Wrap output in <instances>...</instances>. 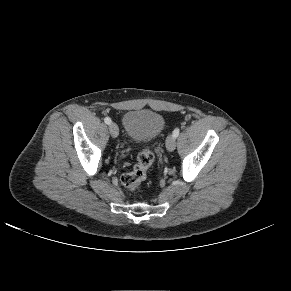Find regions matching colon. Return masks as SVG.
Returning <instances> with one entry per match:
<instances>
[{
	"label": "colon",
	"mask_w": 291,
	"mask_h": 291,
	"mask_svg": "<svg viewBox=\"0 0 291 291\" xmlns=\"http://www.w3.org/2000/svg\"><path fill=\"white\" fill-rule=\"evenodd\" d=\"M154 161V156L149 149H144L137 157V163L133 168L121 177L122 185L134 191L145 180L147 171Z\"/></svg>",
	"instance_id": "5ec220e1"
}]
</instances>
